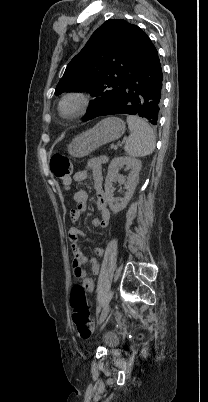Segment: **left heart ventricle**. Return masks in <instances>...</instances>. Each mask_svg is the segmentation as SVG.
Returning a JSON list of instances; mask_svg holds the SVG:
<instances>
[{
    "label": "left heart ventricle",
    "instance_id": "b2bd125f",
    "mask_svg": "<svg viewBox=\"0 0 208 402\" xmlns=\"http://www.w3.org/2000/svg\"><path fill=\"white\" fill-rule=\"evenodd\" d=\"M78 104H79L78 101H75V100L67 103L65 106V111L70 112V111L74 110L78 106Z\"/></svg>",
    "mask_w": 208,
    "mask_h": 402
}]
</instances>
